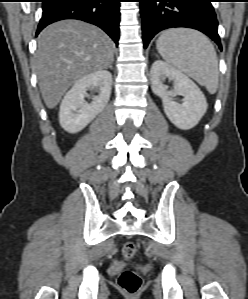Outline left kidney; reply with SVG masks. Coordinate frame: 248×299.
<instances>
[{"mask_svg": "<svg viewBox=\"0 0 248 299\" xmlns=\"http://www.w3.org/2000/svg\"><path fill=\"white\" fill-rule=\"evenodd\" d=\"M166 79L174 82V89L164 85ZM152 91L162 99L164 112L178 128L189 130L196 126L207 110V102L199 87L181 71L157 60L151 67ZM175 95L184 97L183 103L172 99Z\"/></svg>", "mask_w": 248, "mask_h": 299, "instance_id": "1", "label": "left kidney"}]
</instances>
